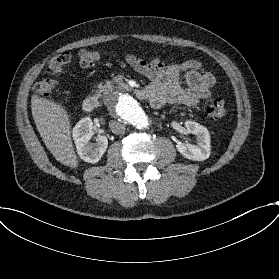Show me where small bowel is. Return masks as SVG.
I'll list each match as a JSON object with an SVG mask.
<instances>
[{"instance_id": "1", "label": "small bowel", "mask_w": 279, "mask_h": 279, "mask_svg": "<svg viewBox=\"0 0 279 279\" xmlns=\"http://www.w3.org/2000/svg\"><path fill=\"white\" fill-rule=\"evenodd\" d=\"M127 62L150 79L143 94L156 109L166 104L195 106L210 97L211 88L216 84L214 75L205 71L197 60L167 63L157 58L144 60L128 55ZM182 73H185L186 86L181 83Z\"/></svg>"}]
</instances>
